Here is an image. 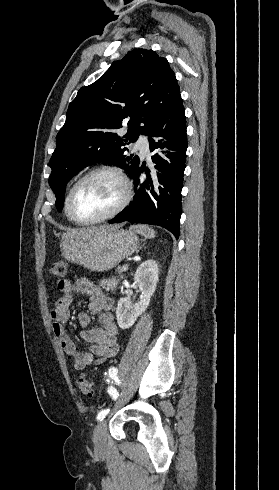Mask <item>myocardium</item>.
<instances>
[{"label": "myocardium", "instance_id": "1", "mask_svg": "<svg viewBox=\"0 0 279 490\" xmlns=\"http://www.w3.org/2000/svg\"><path fill=\"white\" fill-rule=\"evenodd\" d=\"M100 174H110L114 176L122 185L123 196L120 199V201L110 211L106 212L105 214L91 220H80L75 216V199L78 190L84 181H86L90 177L100 175ZM131 198H132V188L129 179L125 174V172L123 171V169L114 165H99L87 170L73 184L71 189V194H70L69 211H70L71 218L77 224L90 225V224L100 223L120 214L128 205Z\"/></svg>", "mask_w": 279, "mask_h": 490}]
</instances>
